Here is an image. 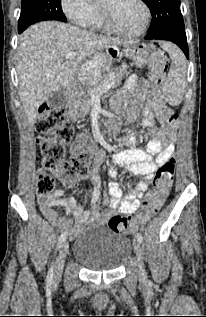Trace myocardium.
Wrapping results in <instances>:
<instances>
[{
    "mask_svg": "<svg viewBox=\"0 0 206 317\" xmlns=\"http://www.w3.org/2000/svg\"><path fill=\"white\" fill-rule=\"evenodd\" d=\"M136 1L141 5V7L143 8L144 13H145L143 25L138 31L132 32V33H127V32H123V31L119 30L113 24L108 10L106 8L100 6V12H101L102 19H103V22H104L106 29L115 35L125 37V38H136V37L143 35L147 31V29L150 25V22H151V16H152L151 10L144 0H136Z\"/></svg>",
    "mask_w": 206,
    "mask_h": 317,
    "instance_id": "f54148a6",
    "label": "myocardium"
}]
</instances>
